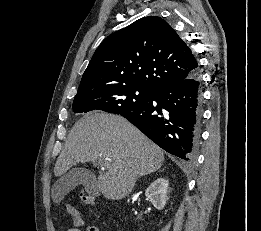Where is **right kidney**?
<instances>
[{"label": "right kidney", "mask_w": 261, "mask_h": 231, "mask_svg": "<svg viewBox=\"0 0 261 231\" xmlns=\"http://www.w3.org/2000/svg\"><path fill=\"white\" fill-rule=\"evenodd\" d=\"M168 180L165 178H158L154 182L150 184V186L145 191L146 197L151 201L153 206L162 210L166 204L168 199L167 191H168Z\"/></svg>", "instance_id": "right-kidney-1"}]
</instances>
